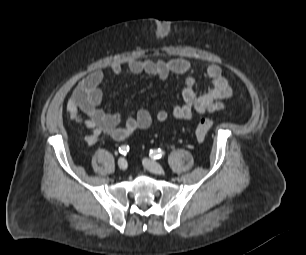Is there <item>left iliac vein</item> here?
I'll return each mask as SVG.
<instances>
[{"mask_svg":"<svg viewBox=\"0 0 306 255\" xmlns=\"http://www.w3.org/2000/svg\"><path fill=\"white\" fill-rule=\"evenodd\" d=\"M143 165L147 170L154 174L163 175L165 173L164 168L157 162L150 159H143Z\"/></svg>","mask_w":306,"mask_h":255,"instance_id":"4c4485c4","label":"left iliac vein"}]
</instances>
